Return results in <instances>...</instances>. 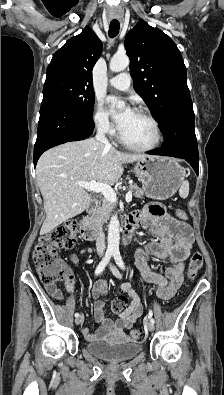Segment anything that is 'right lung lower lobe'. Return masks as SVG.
I'll list each match as a JSON object with an SVG mask.
<instances>
[{"instance_id": "98d812e1", "label": "right lung lower lobe", "mask_w": 224, "mask_h": 395, "mask_svg": "<svg viewBox=\"0 0 224 395\" xmlns=\"http://www.w3.org/2000/svg\"><path fill=\"white\" fill-rule=\"evenodd\" d=\"M92 115L77 112L54 100L43 99L34 146V166L47 149L88 138L93 133Z\"/></svg>"}]
</instances>
